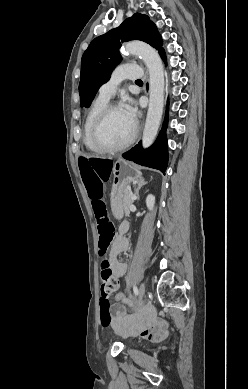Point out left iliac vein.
Here are the masks:
<instances>
[{
  "label": "left iliac vein",
  "mask_w": 248,
  "mask_h": 389,
  "mask_svg": "<svg viewBox=\"0 0 248 389\" xmlns=\"http://www.w3.org/2000/svg\"><path fill=\"white\" fill-rule=\"evenodd\" d=\"M145 293H146V285L144 282H142L139 286V291H138V294H139L138 303L139 304L142 302L143 297L145 296Z\"/></svg>",
  "instance_id": "4c4485c4"
}]
</instances>
